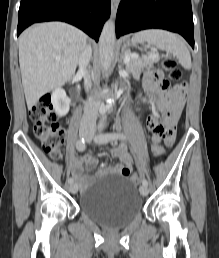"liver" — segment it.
I'll list each match as a JSON object with an SVG mask.
<instances>
[{
    "mask_svg": "<svg viewBox=\"0 0 219 258\" xmlns=\"http://www.w3.org/2000/svg\"><path fill=\"white\" fill-rule=\"evenodd\" d=\"M87 36L61 22L36 24L19 37V64L26 103L31 109L75 73Z\"/></svg>",
    "mask_w": 219,
    "mask_h": 258,
    "instance_id": "1",
    "label": "liver"
}]
</instances>
